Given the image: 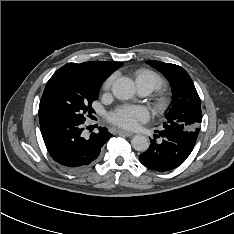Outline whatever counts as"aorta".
<instances>
[{"label":"aorta","mask_w":234,"mask_h":234,"mask_svg":"<svg viewBox=\"0 0 234 234\" xmlns=\"http://www.w3.org/2000/svg\"><path fill=\"white\" fill-rule=\"evenodd\" d=\"M112 92L120 100H129L135 95V84L129 78L121 77L113 83ZM131 145L136 151L144 152L149 148L150 141L146 136L137 134L132 138Z\"/></svg>","instance_id":"762f6f07"}]
</instances>
